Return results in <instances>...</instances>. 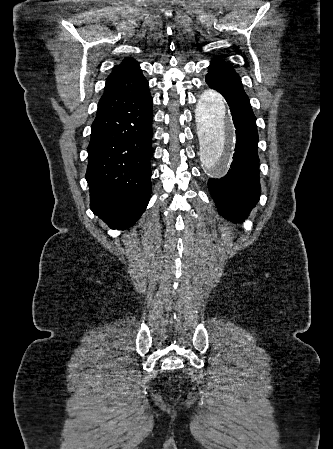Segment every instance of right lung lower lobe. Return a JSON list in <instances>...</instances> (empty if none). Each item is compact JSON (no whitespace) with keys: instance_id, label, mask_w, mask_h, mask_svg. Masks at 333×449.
Listing matches in <instances>:
<instances>
[{"instance_id":"obj_1","label":"right lung lower lobe","mask_w":333,"mask_h":449,"mask_svg":"<svg viewBox=\"0 0 333 449\" xmlns=\"http://www.w3.org/2000/svg\"><path fill=\"white\" fill-rule=\"evenodd\" d=\"M153 99L149 88L98 114L91 127L88 167L90 208L112 229H126L145 211L151 195Z\"/></svg>"}]
</instances>
